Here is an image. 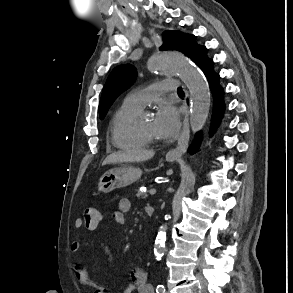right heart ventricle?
I'll return each instance as SVG.
<instances>
[{"label":"right heart ventricle","instance_id":"obj_1","mask_svg":"<svg viewBox=\"0 0 293 293\" xmlns=\"http://www.w3.org/2000/svg\"><path fill=\"white\" fill-rule=\"evenodd\" d=\"M141 111L124 104L116 111L110 125L113 146L123 151H139L148 147L149 143L135 124Z\"/></svg>","mask_w":293,"mask_h":293}]
</instances>
